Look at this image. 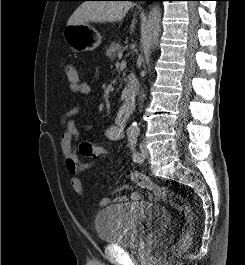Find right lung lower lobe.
Segmentation results:
<instances>
[{
  "label": "right lung lower lobe",
  "mask_w": 245,
  "mask_h": 265,
  "mask_svg": "<svg viewBox=\"0 0 245 265\" xmlns=\"http://www.w3.org/2000/svg\"><path fill=\"white\" fill-rule=\"evenodd\" d=\"M128 1H158V0H128Z\"/></svg>",
  "instance_id": "right-lung-lower-lobe-1"
}]
</instances>
